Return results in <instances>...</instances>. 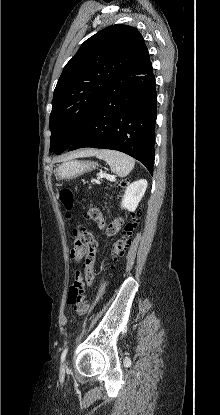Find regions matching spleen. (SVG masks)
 <instances>
[{
    "mask_svg": "<svg viewBox=\"0 0 220 415\" xmlns=\"http://www.w3.org/2000/svg\"><path fill=\"white\" fill-rule=\"evenodd\" d=\"M95 155L98 159L106 161L111 171L120 177L127 176L135 165V160L119 151L114 150H97Z\"/></svg>",
    "mask_w": 220,
    "mask_h": 415,
    "instance_id": "obj_1",
    "label": "spleen"
}]
</instances>
